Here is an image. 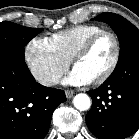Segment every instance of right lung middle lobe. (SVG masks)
Masks as SVG:
<instances>
[{
  "label": "right lung middle lobe",
  "instance_id": "right-lung-middle-lobe-1",
  "mask_svg": "<svg viewBox=\"0 0 139 139\" xmlns=\"http://www.w3.org/2000/svg\"><path fill=\"white\" fill-rule=\"evenodd\" d=\"M41 31L40 28H29L3 21L0 23V51H10L24 56L25 45Z\"/></svg>",
  "mask_w": 139,
  "mask_h": 139
}]
</instances>
